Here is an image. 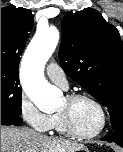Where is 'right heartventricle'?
<instances>
[{"instance_id":"obj_1","label":"right heart ventricle","mask_w":123,"mask_h":152,"mask_svg":"<svg viewBox=\"0 0 123 152\" xmlns=\"http://www.w3.org/2000/svg\"><path fill=\"white\" fill-rule=\"evenodd\" d=\"M51 129L56 130L60 134H67L65 129L63 128V125H62V122H61V119H60L58 113L52 115V128Z\"/></svg>"}]
</instances>
